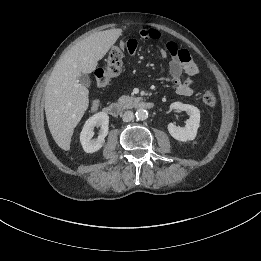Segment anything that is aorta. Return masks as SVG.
<instances>
[{"label":"aorta","mask_w":261,"mask_h":261,"mask_svg":"<svg viewBox=\"0 0 261 261\" xmlns=\"http://www.w3.org/2000/svg\"><path fill=\"white\" fill-rule=\"evenodd\" d=\"M135 115H136V118L138 120L143 121V120H146L148 118V111L146 109H144V108H138L136 110Z\"/></svg>","instance_id":"762f6f07"}]
</instances>
